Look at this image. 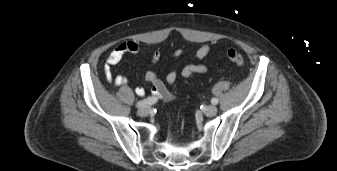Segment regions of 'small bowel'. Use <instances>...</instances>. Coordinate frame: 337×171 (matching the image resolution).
Instances as JSON below:
<instances>
[{
    "mask_svg": "<svg viewBox=\"0 0 337 171\" xmlns=\"http://www.w3.org/2000/svg\"><path fill=\"white\" fill-rule=\"evenodd\" d=\"M140 47L135 41H124L119 43L108 55L106 62L103 66L105 77L107 81L114 83L117 86H124L127 84V78L122 74H114L112 72V66L117 65L125 54H138ZM212 52V48L209 45H203L199 47L192 55L194 59H203ZM183 48L175 49L171 56L173 58H179L183 55ZM161 57L159 50H155L151 54V63L156 64ZM208 70V65L205 64H189L184 66L180 72L177 70L170 71L166 76V86L162 80L158 77L157 73L153 70H148L145 73V80L151 84V93L155 98H159L166 102L171 101L174 97L172 90L169 88L176 82L179 74L184 78H192L196 74H204ZM135 93L138 96L145 94L143 87H137Z\"/></svg>",
    "mask_w": 337,
    "mask_h": 171,
    "instance_id": "small-bowel-1",
    "label": "small bowel"
}]
</instances>
